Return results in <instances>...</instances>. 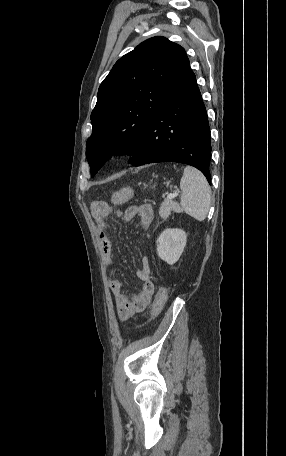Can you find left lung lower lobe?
<instances>
[{
	"label": "left lung lower lobe",
	"instance_id": "1",
	"mask_svg": "<svg viewBox=\"0 0 286 456\" xmlns=\"http://www.w3.org/2000/svg\"><path fill=\"white\" fill-rule=\"evenodd\" d=\"M131 156L132 166L171 161L194 166L211 183L210 128L191 69L152 118Z\"/></svg>",
	"mask_w": 286,
	"mask_h": 456
}]
</instances>
